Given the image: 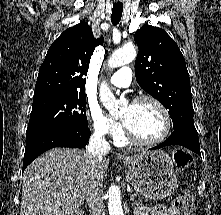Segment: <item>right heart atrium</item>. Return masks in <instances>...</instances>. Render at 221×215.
Wrapping results in <instances>:
<instances>
[{
  "label": "right heart atrium",
  "mask_w": 221,
  "mask_h": 215,
  "mask_svg": "<svg viewBox=\"0 0 221 215\" xmlns=\"http://www.w3.org/2000/svg\"><path fill=\"white\" fill-rule=\"evenodd\" d=\"M87 115L92 130L101 137H117L121 133V125L108 117L97 105L89 104Z\"/></svg>",
  "instance_id": "d8ad5b80"
}]
</instances>
